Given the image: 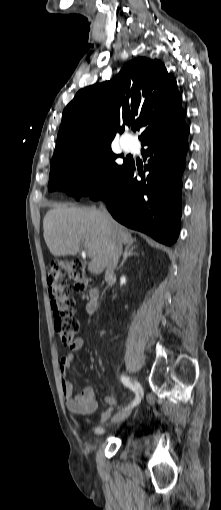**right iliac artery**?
Segmentation results:
<instances>
[{
    "label": "right iliac artery",
    "instance_id": "obj_1",
    "mask_svg": "<svg viewBox=\"0 0 221 510\" xmlns=\"http://www.w3.org/2000/svg\"><path fill=\"white\" fill-rule=\"evenodd\" d=\"M121 381L122 383L130 388L131 390H133L136 394V398L134 400V402L132 403L131 407H134L136 406L137 404H139V402L141 401V398L143 396V390H142V387L141 385L139 384V382L137 381H130V379L126 376H121Z\"/></svg>",
    "mask_w": 221,
    "mask_h": 510
}]
</instances>
